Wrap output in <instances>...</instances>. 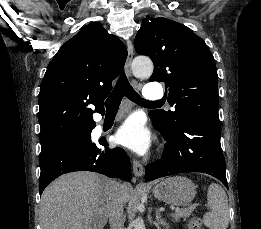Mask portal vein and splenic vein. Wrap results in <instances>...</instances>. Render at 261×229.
I'll list each match as a JSON object with an SVG mask.
<instances>
[{"instance_id": "obj_1", "label": "portal vein and splenic vein", "mask_w": 261, "mask_h": 229, "mask_svg": "<svg viewBox=\"0 0 261 229\" xmlns=\"http://www.w3.org/2000/svg\"><path fill=\"white\" fill-rule=\"evenodd\" d=\"M189 207H202V208H208L209 204L208 203H202V204H189ZM177 214H181L182 210L181 209H177L176 210Z\"/></svg>"}]
</instances>
